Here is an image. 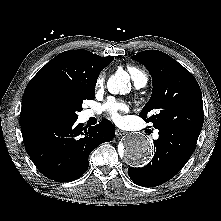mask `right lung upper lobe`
<instances>
[{
	"label": "right lung upper lobe",
	"mask_w": 221,
	"mask_h": 221,
	"mask_svg": "<svg viewBox=\"0 0 221 221\" xmlns=\"http://www.w3.org/2000/svg\"><path fill=\"white\" fill-rule=\"evenodd\" d=\"M83 49L60 53L28 83L22 98L21 126L37 120L35 105L53 94L67 95L95 88L100 72L113 60Z\"/></svg>",
	"instance_id": "obj_1"
}]
</instances>
